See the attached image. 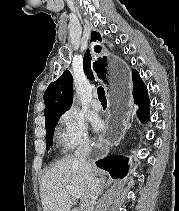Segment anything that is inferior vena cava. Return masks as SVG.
Returning <instances> with one entry per match:
<instances>
[{"mask_svg": "<svg viewBox=\"0 0 179 211\" xmlns=\"http://www.w3.org/2000/svg\"><path fill=\"white\" fill-rule=\"evenodd\" d=\"M89 151V140L85 139L74 153L75 159L78 161L79 166L84 173L85 179L88 182V191L81 204V211H93L95 200L100 192L98 181L94 178L92 173V166L87 160Z\"/></svg>", "mask_w": 179, "mask_h": 211, "instance_id": "inferior-vena-cava-1", "label": "inferior vena cava"}]
</instances>
